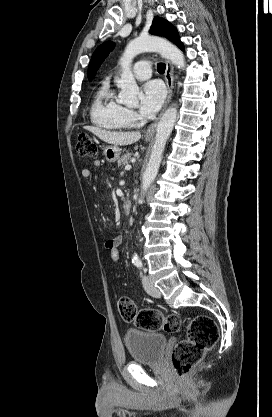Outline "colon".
<instances>
[{
    "label": "colon",
    "mask_w": 272,
    "mask_h": 417,
    "mask_svg": "<svg viewBox=\"0 0 272 417\" xmlns=\"http://www.w3.org/2000/svg\"><path fill=\"white\" fill-rule=\"evenodd\" d=\"M98 149L89 136L82 134L77 141V153L83 157H95ZM120 242H111L106 249L113 262H119ZM118 311L123 320L147 331L163 330L174 333L182 326L176 314L164 315L158 310L137 309L132 299L123 296L118 300ZM219 330L214 320L206 315L192 316L187 324V337L179 341L171 354L172 364L179 378L186 377L203 358L205 352L218 341Z\"/></svg>",
    "instance_id": "1"
}]
</instances>
